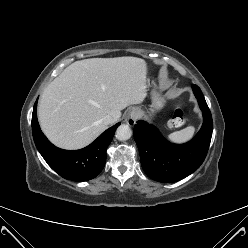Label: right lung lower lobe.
<instances>
[{"mask_svg":"<svg viewBox=\"0 0 248 248\" xmlns=\"http://www.w3.org/2000/svg\"><path fill=\"white\" fill-rule=\"evenodd\" d=\"M37 101L32 114V131L35 145L47 164L60 176L73 181H87L96 177L106 162V150L115 130L120 125L102 133L93 143L80 150H63L48 141L37 121Z\"/></svg>","mask_w":248,"mask_h":248,"instance_id":"right-lung-lower-lobe-1","label":"right lung lower lobe"}]
</instances>
